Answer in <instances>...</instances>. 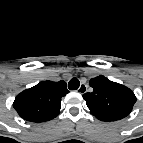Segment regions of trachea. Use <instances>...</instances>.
Masks as SVG:
<instances>
[{
    "label": "trachea",
    "mask_w": 143,
    "mask_h": 143,
    "mask_svg": "<svg viewBox=\"0 0 143 143\" xmlns=\"http://www.w3.org/2000/svg\"><path fill=\"white\" fill-rule=\"evenodd\" d=\"M79 86H80V82L77 78H72L68 83V88L70 90H76L79 88Z\"/></svg>",
    "instance_id": "1"
}]
</instances>
